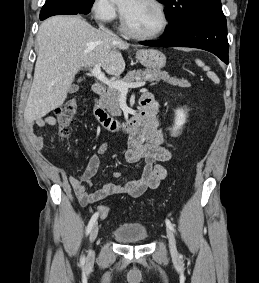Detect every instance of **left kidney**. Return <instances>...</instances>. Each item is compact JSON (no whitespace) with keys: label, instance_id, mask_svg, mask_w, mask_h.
Instances as JSON below:
<instances>
[{"label":"left kidney","instance_id":"left-kidney-1","mask_svg":"<svg viewBox=\"0 0 259 283\" xmlns=\"http://www.w3.org/2000/svg\"><path fill=\"white\" fill-rule=\"evenodd\" d=\"M186 116H187V113L183 109H177L175 111V122H174V127L172 130V136L175 137L178 135L179 130L182 128V126L186 122Z\"/></svg>","mask_w":259,"mask_h":283}]
</instances>
